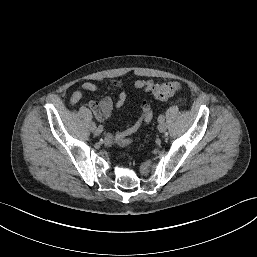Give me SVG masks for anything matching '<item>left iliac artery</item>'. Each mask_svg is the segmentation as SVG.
<instances>
[{
    "label": "left iliac artery",
    "mask_w": 257,
    "mask_h": 257,
    "mask_svg": "<svg viewBox=\"0 0 257 257\" xmlns=\"http://www.w3.org/2000/svg\"><path fill=\"white\" fill-rule=\"evenodd\" d=\"M164 120H165L164 115H163V114H160V115L158 116V122L161 123V122H164Z\"/></svg>",
    "instance_id": "obj_1"
}]
</instances>
